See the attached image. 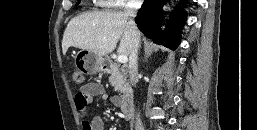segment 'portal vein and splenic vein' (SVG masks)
Here are the masks:
<instances>
[{"label":"portal vein and splenic vein","instance_id":"obj_1","mask_svg":"<svg viewBox=\"0 0 257 130\" xmlns=\"http://www.w3.org/2000/svg\"><path fill=\"white\" fill-rule=\"evenodd\" d=\"M117 61H118L119 63H126V62L128 61V58H127V56H125V55H119V56L117 57Z\"/></svg>","mask_w":257,"mask_h":130}]
</instances>
